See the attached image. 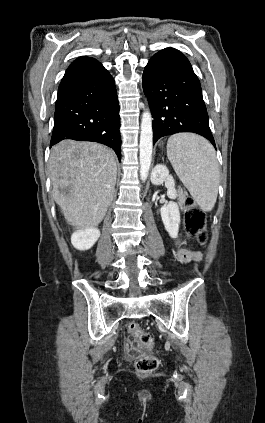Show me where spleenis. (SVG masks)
<instances>
[{"label":"spleen","mask_w":265,"mask_h":423,"mask_svg":"<svg viewBox=\"0 0 265 423\" xmlns=\"http://www.w3.org/2000/svg\"><path fill=\"white\" fill-rule=\"evenodd\" d=\"M167 157L193 200L203 211H211L220 176L213 146L199 135L178 133L168 139Z\"/></svg>","instance_id":"1"}]
</instances>
